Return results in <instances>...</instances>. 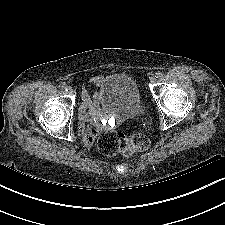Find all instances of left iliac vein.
<instances>
[{"label": "left iliac vein", "instance_id": "obj_1", "mask_svg": "<svg viewBox=\"0 0 225 225\" xmlns=\"http://www.w3.org/2000/svg\"><path fill=\"white\" fill-rule=\"evenodd\" d=\"M150 82L151 83H155L156 82V78L154 76L150 77Z\"/></svg>", "mask_w": 225, "mask_h": 225}]
</instances>
